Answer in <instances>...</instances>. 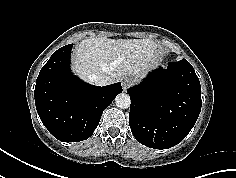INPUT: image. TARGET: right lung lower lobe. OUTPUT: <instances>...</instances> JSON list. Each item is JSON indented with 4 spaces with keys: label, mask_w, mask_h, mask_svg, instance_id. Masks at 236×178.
<instances>
[{
    "label": "right lung lower lobe",
    "mask_w": 236,
    "mask_h": 178,
    "mask_svg": "<svg viewBox=\"0 0 236 178\" xmlns=\"http://www.w3.org/2000/svg\"><path fill=\"white\" fill-rule=\"evenodd\" d=\"M72 46L66 45L52 54L38 75L34 91L42 123L63 142L89 138L103 110L122 92L120 83L93 86L73 75L70 71Z\"/></svg>",
    "instance_id": "obj_1"
}]
</instances>
